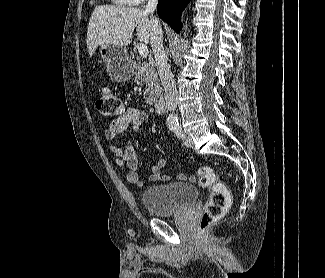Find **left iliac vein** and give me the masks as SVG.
I'll return each instance as SVG.
<instances>
[{
  "mask_svg": "<svg viewBox=\"0 0 325 278\" xmlns=\"http://www.w3.org/2000/svg\"><path fill=\"white\" fill-rule=\"evenodd\" d=\"M183 144H184L186 147H192V145H193V141H192L191 137L187 135V136L184 138V140H183Z\"/></svg>",
  "mask_w": 325,
  "mask_h": 278,
  "instance_id": "obj_1",
  "label": "left iliac vein"
}]
</instances>
